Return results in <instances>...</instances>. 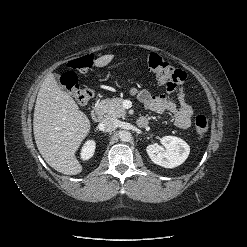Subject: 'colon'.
Returning <instances> with one entry per match:
<instances>
[{"label":"colon","instance_id":"colon-1","mask_svg":"<svg viewBox=\"0 0 247 247\" xmlns=\"http://www.w3.org/2000/svg\"><path fill=\"white\" fill-rule=\"evenodd\" d=\"M94 62L92 55H84L69 61L70 71L65 72L60 82L63 87L81 104L88 103L93 97V91L87 87H81L75 71L87 72ZM146 63L156 79L167 86L177 85L184 81L185 75L182 71L174 68L160 55L150 53L146 57ZM195 133L199 138H203L208 131V119L204 115H198L194 122Z\"/></svg>","mask_w":247,"mask_h":247}]
</instances>
